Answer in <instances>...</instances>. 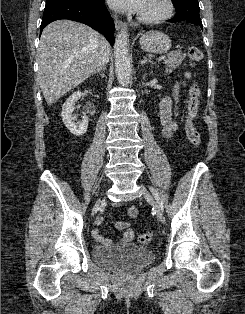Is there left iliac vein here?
<instances>
[{"instance_id": "obj_1", "label": "left iliac vein", "mask_w": 245, "mask_h": 314, "mask_svg": "<svg viewBox=\"0 0 245 314\" xmlns=\"http://www.w3.org/2000/svg\"><path fill=\"white\" fill-rule=\"evenodd\" d=\"M140 191L142 192L144 198L147 200L149 204H151L157 214L158 219L161 222H164V214L163 211L161 210L160 206L156 203L150 192L147 190V188L144 185H139Z\"/></svg>"}]
</instances>
